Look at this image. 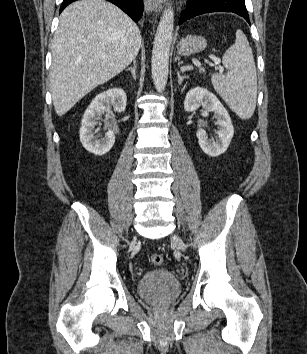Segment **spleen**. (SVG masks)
I'll return each instance as SVG.
<instances>
[{
	"instance_id": "obj_1",
	"label": "spleen",
	"mask_w": 307,
	"mask_h": 354,
	"mask_svg": "<svg viewBox=\"0 0 307 354\" xmlns=\"http://www.w3.org/2000/svg\"><path fill=\"white\" fill-rule=\"evenodd\" d=\"M222 61L230 75L213 74L212 85L228 106L247 120L256 107L257 74L252 49L241 30L236 31L235 43L224 53Z\"/></svg>"
}]
</instances>
